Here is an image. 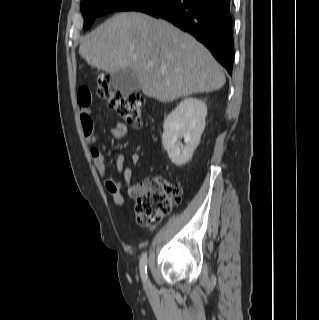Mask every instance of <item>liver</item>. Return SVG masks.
<instances>
[{"instance_id": "obj_1", "label": "liver", "mask_w": 319, "mask_h": 320, "mask_svg": "<svg viewBox=\"0 0 319 320\" xmlns=\"http://www.w3.org/2000/svg\"><path fill=\"white\" fill-rule=\"evenodd\" d=\"M79 54L110 74L131 70L144 95L160 102L216 91L226 81L222 66L194 37L142 13L114 15L82 40Z\"/></svg>"}]
</instances>
